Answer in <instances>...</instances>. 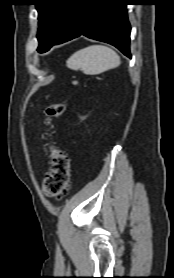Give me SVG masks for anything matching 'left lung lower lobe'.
<instances>
[{
  "mask_svg": "<svg viewBox=\"0 0 174 278\" xmlns=\"http://www.w3.org/2000/svg\"><path fill=\"white\" fill-rule=\"evenodd\" d=\"M128 4V0H77L75 9L54 45L85 35L109 43L131 58V28L126 10Z\"/></svg>",
  "mask_w": 174,
  "mask_h": 278,
  "instance_id": "left-lung-lower-lobe-1",
  "label": "left lung lower lobe"
}]
</instances>
